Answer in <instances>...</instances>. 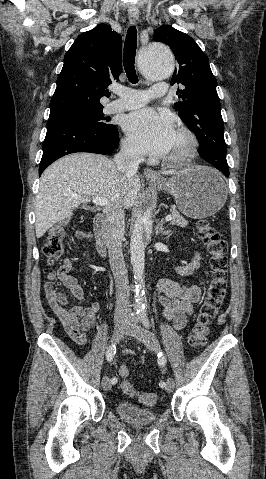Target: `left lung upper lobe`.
Listing matches in <instances>:
<instances>
[{
  "label": "left lung upper lobe",
  "mask_w": 266,
  "mask_h": 479,
  "mask_svg": "<svg viewBox=\"0 0 266 479\" xmlns=\"http://www.w3.org/2000/svg\"><path fill=\"white\" fill-rule=\"evenodd\" d=\"M153 39L167 44L179 63L171 80V85L182 86L174 108L196 135L200 156L218 169L228 167L217 82L207 55L189 35L170 25L156 29Z\"/></svg>",
  "instance_id": "5c2ea615"
}]
</instances>
